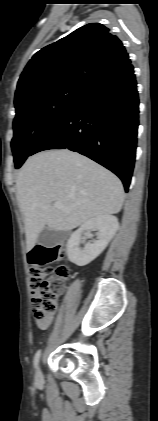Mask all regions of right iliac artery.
I'll list each match as a JSON object with an SVG mask.
<instances>
[{"label": "right iliac artery", "mask_w": 158, "mask_h": 421, "mask_svg": "<svg viewBox=\"0 0 158 421\" xmlns=\"http://www.w3.org/2000/svg\"><path fill=\"white\" fill-rule=\"evenodd\" d=\"M41 356V350H38L34 356V367L37 368Z\"/></svg>", "instance_id": "1"}]
</instances>
